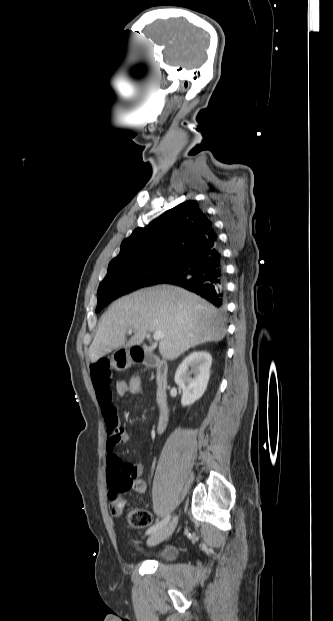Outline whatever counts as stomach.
<instances>
[{
	"label": "stomach",
	"mask_w": 333,
	"mask_h": 621,
	"mask_svg": "<svg viewBox=\"0 0 333 621\" xmlns=\"http://www.w3.org/2000/svg\"><path fill=\"white\" fill-rule=\"evenodd\" d=\"M114 358L116 361L118 362H123L124 364H127L130 360V356L128 354V352H126L123 349H118L115 351L114 353Z\"/></svg>",
	"instance_id": "obj_1"
}]
</instances>
